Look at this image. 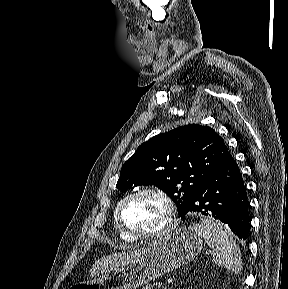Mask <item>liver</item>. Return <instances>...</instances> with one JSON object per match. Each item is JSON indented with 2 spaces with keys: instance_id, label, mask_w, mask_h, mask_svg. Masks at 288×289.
Masks as SVG:
<instances>
[{
  "instance_id": "obj_1",
  "label": "liver",
  "mask_w": 288,
  "mask_h": 289,
  "mask_svg": "<svg viewBox=\"0 0 288 289\" xmlns=\"http://www.w3.org/2000/svg\"><path fill=\"white\" fill-rule=\"evenodd\" d=\"M141 252L142 249H138L128 252H118L110 256H104L101 258V260H99L93 265V268L90 271L91 276H96L100 273L111 270L119 264H125L130 260L136 258Z\"/></svg>"
}]
</instances>
